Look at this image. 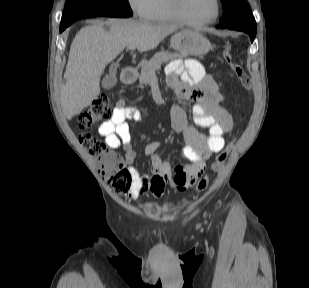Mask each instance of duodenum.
<instances>
[{
	"mask_svg": "<svg viewBox=\"0 0 309 288\" xmlns=\"http://www.w3.org/2000/svg\"><path fill=\"white\" fill-rule=\"evenodd\" d=\"M136 77V70L133 67L124 68L121 72V81L123 83H130Z\"/></svg>",
	"mask_w": 309,
	"mask_h": 288,
	"instance_id": "duodenum-1",
	"label": "duodenum"
}]
</instances>
